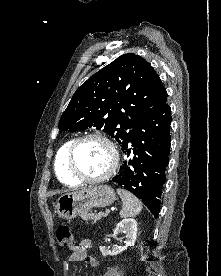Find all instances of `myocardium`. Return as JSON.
<instances>
[{"label":"myocardium","mask_w":221,"mask_h":276,"mask_svg":"<svg viewBox=\"0 0 221 276\" xmlns=\"http://www.w3.org/2000/svg\"><path fill=\"white\" fill-rule=\"evenodd\" d=\"M89 139H96V140H100V141L104 142L108 146V148L111 152V163H110L109 168L103 174H101L100 176H97V177H87V176L82 175L77 170V168L74 164V153H75L77 146L81 142H83L85 140H89ZM118 163H119V154H118L116 146L108 137H106L105 135L99 134V133H89V134H85V135L75 138L74 140L71 141V143L67 149V153H66V165H67V169H68L69 173L72 175V177H74L78 181L86 182V183H99V182H102V181L108 179L116 171V169L118 167Z\"/></svg>","instance_id":"obj_1"}]
</instances>
